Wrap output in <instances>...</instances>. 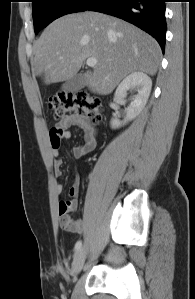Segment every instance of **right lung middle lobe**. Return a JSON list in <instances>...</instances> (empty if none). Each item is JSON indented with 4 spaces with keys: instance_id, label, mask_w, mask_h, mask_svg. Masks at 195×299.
Instances as JSON below:
<instances>
[{
    "instance_id": "1",
    "label": "right lung middle lobe",
    "mask_w": 195,
    "mask_h": 299,
    "mask_svg": "<svg viewBox=\"0 0 195 299\" xmlns=\"http://www.w3.org/2000/svg\"><path fill=\"white\" fill-rule=\"evenodd\" d=\"M32 0L35 34L53 20L70 13L85 11L93 0Z\"/></svg>"
}]
</instances>
